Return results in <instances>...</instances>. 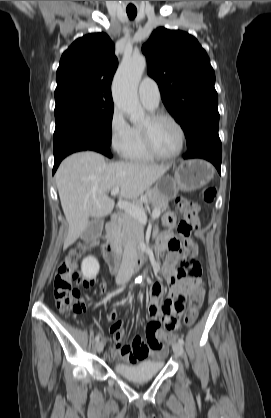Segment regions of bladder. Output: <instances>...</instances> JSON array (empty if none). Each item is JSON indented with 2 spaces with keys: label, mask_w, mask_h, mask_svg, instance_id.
I'll return each instance as SVG.
<instances>
[{
  "label": "bladder",
  "mask_w": 271,
  "mask_h": 418,
  "mask_svg": "<svg viewBox=\"0 0 271 418\" xmlns=\"http://www.w3.org/2000/svg\"><path fill=\"white\" fill-rule=\"evenodd\" d=\"M164 367V361L147 360L140 363L118 362L114 364V371L121 377L135 383H143L157 376Z\"/></svg>",
  "instance_id": "1"
}]
</instances>
